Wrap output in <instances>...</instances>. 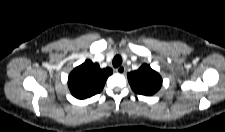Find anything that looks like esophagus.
<instances>
[{
	"label": "esophagus",
	"instance_id": "obj_1",
	"mask_svg": "<svg viewBox=\"0 0 225 132\" xmlns=\"http://www.w3.org/2000/svg\"><path fill=\"white\" fill-rule=\"evenodd\" d=\"M125 71H126V68H125V66H123V65L119 66V67L116 69V72H117L118 74H124Z\"/></svg>",
	"mask_w": 225,
	"mask_h": 132
}]
</instances>
